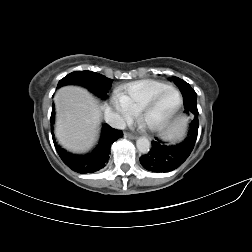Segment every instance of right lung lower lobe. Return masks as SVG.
<instances>
[{"instance_id":"98d812e1","label":"right lung lower lobe","mask_w":252,"mask_h":252,"mask_svg":"<svg viewBox=\"0 0 252 252\" xmlns=\"http://www.w3.org/2000/svg\"><path fill=\"white\" fill-rule=\"evenodd\" d=\"M50 122L52 123L53 142L60 158L69 168L78 173H93L102 169L108 163L111 145L123 136L122 131L114 129L105 123L97 147L87 155H74L62 149L55 142L53 135L54 104L52 105Z\"/></svg>"}]
</instances>
